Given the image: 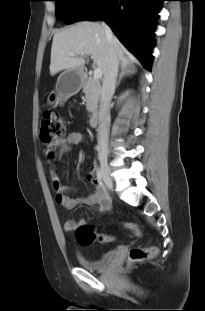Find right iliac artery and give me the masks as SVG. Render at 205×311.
Segmentation results:
<instances>
[{
  "mask_svg": "<svg viewBox=\"0 0 205 311\" xmlns=\"http://www.w3.org/2000/svg\"><path fill=\"white\" fill-rule=\"evenodd\" d=\"M97 178L100 181V185H103L102 184L103 175H102V170L100 167L97 168Z\"/></svg>",
  "mask_w": 205,
  "mask_h": 311,
  "instance_id": "82829eb1",
  "label": "right iliac artery"
}]
</instances>
